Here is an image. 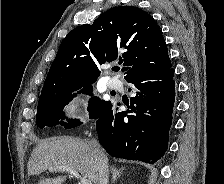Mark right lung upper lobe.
I'll return each instance as SVG.
<instances>
[{
	"label": "right lung upper lobe",
	"instance_id": "obj_1",
	"mask_svg": "<svg viewBox=\"0 0 224 184\" xmlns=\"http://www.w3.org/2000/svg\"><path fill=\"white\" fill-rule=\"evenodd\" d=\"M118 58L126 66V80L171 64L159 26L137 7L112 8L93 24L71 30L58 49L39 100L74 84L95 82L98 65Z\"/></svg>",
	"mask_w": 224,
	"mask_h": 184
}]
</instances>
